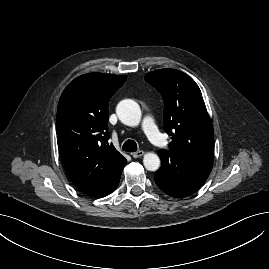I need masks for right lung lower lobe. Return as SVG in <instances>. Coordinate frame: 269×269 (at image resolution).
Returning a JSON list of instances; mask_svg holds the SVG:
<instances>
[{"instance_id": "98d812e1", "label": "right lung lower lobe", "mask_w": 269, "mask_h": 269, "mask_svg": "<svg viewBox=\"0 0 269 269\" xmlns=\"http://www.w3.org/2000/svg\"><path fill=\"white\" fill-rule=\"evenodd\" d=\"M122 169L113 178H111L109 181H107L103 185H101L93 190L84 192V193L91 196V197H104V196L112 193L117 188V186L119 184Z\"/></svg>"}]
</instances>
